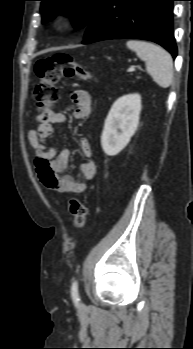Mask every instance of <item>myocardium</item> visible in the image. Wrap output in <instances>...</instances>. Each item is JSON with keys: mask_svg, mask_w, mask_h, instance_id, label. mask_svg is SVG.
Wrapping results in <instances>:
<instances>
[{"mask_svg": "<svg viewBox=\"0 0 193 349\" xmlns=\"http://www.w3.org/2000/svg\"><path fill=\"white\" fill-rule=\"evenodd\" d=\"M74 16L72 12L62 13L55 18L54 23L59 27H64L73 22Z\"/></svg>", "mask_w": 193, "mask_h": 349, "instance_id": "f54148a6", "label": "myocardium"}]
</instances>
